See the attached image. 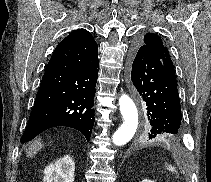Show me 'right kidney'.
Returning <instances> with one entry per match:
<instances>
[{"instance_id": "right-kidney-1", "label": "right kidney", "mask_w": 211, "mask_h": 182, "mask_svg": "<svg viewBox=\"0 0 211 182\" xmlns=\"http://www.w3.org/2000/svg\"><path fill=\"white\" fill-rule=\"evenodd\" d=\"M75 163L66 155L44 170L43 182H74Z\"/></svg>"}]
</instances>
